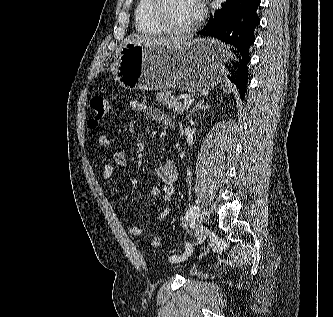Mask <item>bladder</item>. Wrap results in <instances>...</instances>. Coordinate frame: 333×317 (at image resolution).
Masks as SVG:
<instances>
[{
    "instance_id": "31cf9c89",
    "label": "bladder",
    "mask_w": 333,
    "mask_h": 317,
    "mask_svg": "<svg viewBox=\"0 0 333 317\" xmlns=\"http://www.w3.org/2000/svg\"><path fill=\"white\" fill-rule=\"evenodd\" d=\"M161 266H162V267H166V266H167V263H166L165 261H163V262L161 263Z\"/></svg>"
}]
</instances>
